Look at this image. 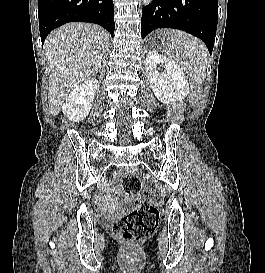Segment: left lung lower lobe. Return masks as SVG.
Returning a JSON list of instances; mask_svg holds the SVG:
<instances>
[{"instance_id":"0a47b994","label":"left lung lower lobe","mask_w":265,"mask_h":273,"mask_svg":"<svg viewBox=\"0 0 265 273\" xmlns=\"http://www.w3.org/2000/svg\"><path fill=\"white\" fill-rule=\"evenodd\" d=\"M218 0H153L142 9L141 35L158 28H174L199 37L213 51Z\"/></svg>"}]
</instances>
